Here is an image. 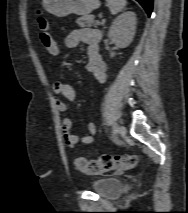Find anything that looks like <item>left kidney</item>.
<instances>
[{"mask_svg":"<svg viewBox=\"0 0 188 213\" xmlns=\"http://www.w3.org/2000/svg\"><path fill=\"white\" fill-rule=\"evenodd\" d=\"M136 24V14L132 11L124 12L113 21L108 37L117 47L126 48L133 41Z\"/></svg>","mask_w":188,"mask_h":213,"instance_id":"obj_1","label":"left kidney"}]
</instances>
